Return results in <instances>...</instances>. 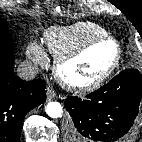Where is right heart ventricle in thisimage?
Listing matches in <instances>:
<instances>
[{"label": "right heart ventricle", "instance_id": "e07e8e85", "mask_svg": "<svg viewBox=\"0 0 142 142\" xmlns=\"http://www.w3.org/2000/svg\"><path fill=\"white\" fill-rule=\"evenodd\" d=\"M107 35V31L93 22H78L67 27H51L45 33V45L56 58L67 54L88 41Z\"/></svg>", "mask_w": 142, "mask_h": 142}]
</instances>
